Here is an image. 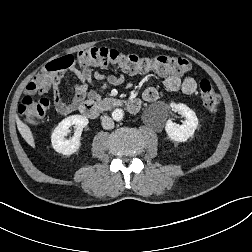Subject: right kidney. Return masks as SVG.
Wrapping results in <instances>:
<instances>
[{
	"mask_svg": "<svg viewBox=\"0 0 252 252\" xmlns=\"http://www.w3.org/2000/svg\"><path fill=\"white\" fill-rule=\"evenodd\" d=\"M88 123V119L82 115H72L63 119L51 135L54 150L68 156L75 153L81 146V133ZM72 125H75L76 130L74 136L67 140L65 136L69 133V128Z\"/></svg>",
	"mask_w": 252,
	"mask_h": 252,
	"instance_id": "right-kidney-1",
	"label": "right kidney"
}]
</instances>
